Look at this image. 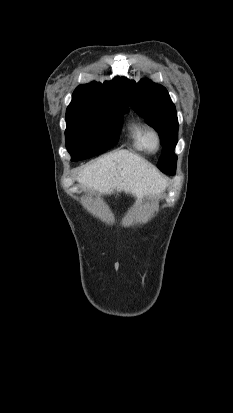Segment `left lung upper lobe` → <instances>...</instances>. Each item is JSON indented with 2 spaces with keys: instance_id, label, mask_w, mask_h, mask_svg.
Segmentation results:
<instances>
[{
  "instance_id": "1",
  "label": "left lung upper lobe",
  "mask_w": 233,
  "mask_h": 413,
  "mask_svg": "<svg viewBox=\"0 0 233 413\" xmlns=\"http://www.w3.org/2000/svg\"><path fill=\"white\" fill-rule=\"evenodd\" d=\"M123 91L130 106L159 133L164 146L158 168L173 175L177 156L174 148L178 137V120L175 105L165 87L148 80L136 83L122 79Z\"/></svg>"
}]
</instances>
